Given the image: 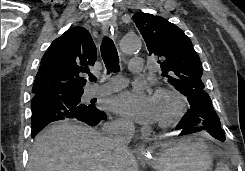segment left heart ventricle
<instances>
[{"mask_svg": "<svg viewBox=\"0 0 245 171\" xmlns=\"http://www.w3.org/2000/svg\"><path fill=\"white\" fill-rule=\"evenodd\" d=\"M158 120L166 118L174 109V102L168 97L155 96Z\"/></svg>", "mask_w": 245, "mask_h": 171, "instance_id": "1", "label": "left heart ventricle"}]
</instances>
